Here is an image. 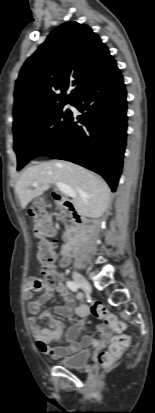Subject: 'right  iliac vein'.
<instances>
[{
  "label": "right iliac vein",
  "instance_id": "right-iliac-vein-1",
  "mask_svg": "<svg viewBox=\"0 0 155 413\" xmlns=\"http://www.w3.org/2000/svg\"><path fill=\"white\" fill-rule=\"evenodd\" d=\"M75 282L84 290L90 292L92 290L90 283L79 273L74 274Z\"/></svg>",
  "mask_w": 155,
  "mask_h": 413
}]
</instances>
